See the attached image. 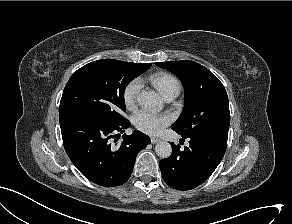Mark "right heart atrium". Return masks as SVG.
<instances>
[{"label": "right heart atrium", "instance_id": "right-heart-atrium-1", "mask_svg": "<svg viewBox=\"0 0 292 224\" xmlns=\"http://www.w3.org/2000/svg\"><path fill=\"white\" fill-rule=\"evenodd\" d=\"M141 84L139 80H132L127 84L123 92L124 104L128 109H132L138 98L140 92Z\"/></svg>", "mask_w": 292, "mask_h": 224}]
</instances>
